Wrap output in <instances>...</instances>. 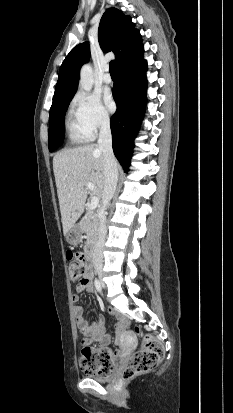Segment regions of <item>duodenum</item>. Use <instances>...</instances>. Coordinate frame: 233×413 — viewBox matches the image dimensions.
<instances>
[{
  "instance_id": "410a0bca",
  "label": "duodenum",
  "mask_w": 233,
  "mask_h": 413,
  "mask_svg": "<svg viewBox=\"0 0 233 413\" xmlns=\"http://www.w3.org/2000/svg\"><path fill=\"white\" fill-rule=\"evenodd\" d=\"M92 252H93V244L88 243L86 248H85V252H84V254H85L84 257L86 258L87 261H89L91 259Z\"/></svg>"
}]
</instances>
